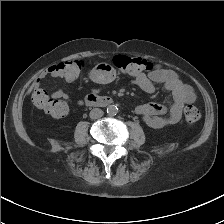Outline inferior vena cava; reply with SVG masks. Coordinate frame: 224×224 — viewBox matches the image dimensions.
Returning <instances> with one entry per match:
<instances>
[{
	"instance_id": "inferior-vena-cava-1",
	"label": "inferior vena cava",
	"mask_w": 224,
	"mask_h": 224,
	"mask_svg": "<svg viewBox=\"0 0 224 224\" xmlns=\"http://www.w3.org/2000/svg\"><path fill=\"white\" fill-rule=\"evenodd\" d=\"M103 114H104V112L101 109L94 108L90 111L89 115H90L91 119H98V118L102 117Z\"/></svg>"
}]
</instances>
